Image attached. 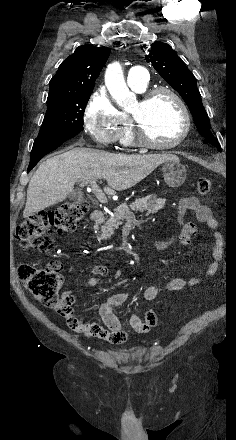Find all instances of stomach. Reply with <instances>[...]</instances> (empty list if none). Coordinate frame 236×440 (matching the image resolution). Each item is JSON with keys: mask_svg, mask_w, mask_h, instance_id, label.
Returning a JSON list of instances; mask_svg holds the SVG:
<instances>
[{"mask_svg": "<svg viewBox=\"0 0 236 440\" xmlns=\"http://www.w3.org/2000/svg\"><path fill=\"white\" fill-rule=\"evenodd\" d=\"M162 172L165 183L172 188L181 186L186 179V169L178 159L164 162Z\"/></svg>", "mask_w": 236, "mask_h": 440, "instance_id": "stomach-1", "label": "stomach"}]
</instances>
